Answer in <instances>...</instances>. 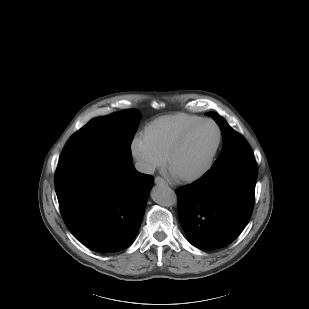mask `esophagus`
I'll use <instances>...</instances> for the list:
<instances>
[{
  "instance_id": "1",
  "label": "esophagus",
  "mask_w": 309,
  "mask_h": 309,
  "mask_svg": "<svg viewBox=\"0 0 309 309\" xmlns=\"http://www.w3.org/2000/svg\"><path fill=\"white\" fill-rule=\"evenodd\" d=\"M154 182H155V184H157V185H165V186L168 185L167 182H166L164 179H162L161 177H156V178L154 179Z\"/></svg>"
}]
</instances>
